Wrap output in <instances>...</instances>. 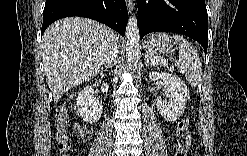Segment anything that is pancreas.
I'll use <instances>...</instances> for the list:
<instances>
[{
	"mask_svg": "<svg viewBox=\"0 0 247 156\" xmlns=\"http://www.w3.org/2000/svg\"><path fill=\"white\" fill-rule=\"evenodd\" d=\"M160 60H162V58H155L154 61L159 62Z\"/></svg>",
	"mask_w": 247,
	"mask_h": 156,
	"instance_id": "1",
	"label": "pancreas"
}]
</instances>
